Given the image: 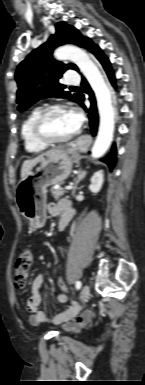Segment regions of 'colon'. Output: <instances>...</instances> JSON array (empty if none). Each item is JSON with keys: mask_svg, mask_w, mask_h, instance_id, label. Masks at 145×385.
<instances>
[{"mask_svg": "<svg viewBox=\"0 0 145 385\" xmlns=\"http://www.w3.org/2000/svg\"><path fill=\"white\" fill-rule=\"evenodd\" d=\"M33 255L30 250H24L15 261V284L17 287H24L30 274Z\"/></svg>", "mask_w": 145, "mask_h": 385, "instance_id": "obj_1", "label": "colon"}]
</instances>
